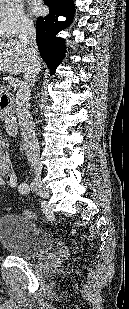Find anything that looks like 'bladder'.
Segmentation results:
<instances>
[{
  "label": "bladder",
  "instance_id": "obj_1",
  "mask_svg": "<svg viewBox=\"0 0 129 309\" xmlns=\"http://www.w3.org/2000/svg\"><path fill=\"white\" fill-rule=\"evenodd\" d=\"M0 244L9 253L22 258H36L54 248V239L22 214L0 218Z\"/></svg>",
  "mask_w": 129,
  "mask_h": 309
}]
</instances>
